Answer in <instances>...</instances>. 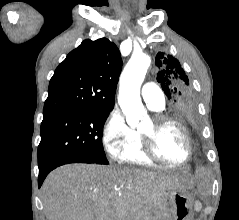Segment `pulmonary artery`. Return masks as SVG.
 Masks as SVG:
<instances>
[{
    "instance_id": "1",
    "label": "pulmonary artery",
    "mask_w": 239,
    "mask_h": 220,
    "mask_svg": "<svg viewBox=\"0 0 239 220\" xmlns=\"http://www.w3.org/2000/svg\"><path fill=\"white\" fill-rule=\"evenodd\" d=\"M143 101L152 110H162L165 106V96L162 89L154 82L145 83L141 90Z\"/></svg>"
}]
</instances>
